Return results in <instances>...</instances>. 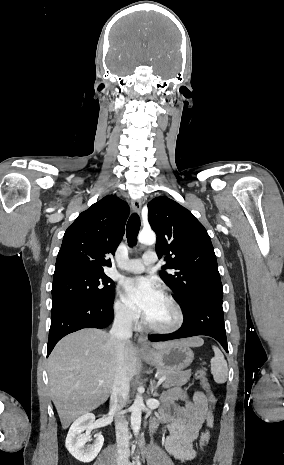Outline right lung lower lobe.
Returning a JSON list of instances; mask_svg holds the SVG:
<instances>
[{
  "instance_id": "1",
  "label": "right lung lower lobe",
  "mask_w": 284,
  "mask_h": 465,
  "mask_svg": "<svg viewBox=\"0 0 284 465\" xmlns=\"http://www.w3.org/2000/svg\"><path fill=\"white\" fill-rule=\"evenodd\" d=\"M114 295L109 299H72L52 309L47 357L56 343L82 328H105L113 320Z\"/></svg>"
}]
</instances>
